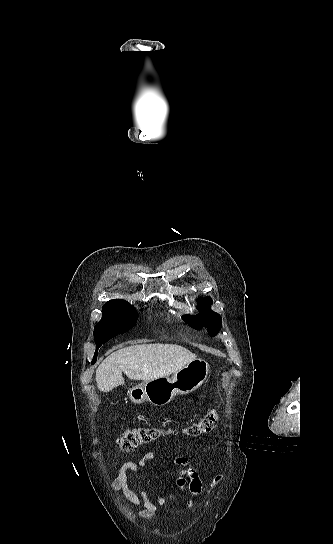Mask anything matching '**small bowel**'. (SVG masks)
<instances>
[{"mask_svg":"<svg viewBox=\"0 0 333 544\" xmlns=\"http://www.w3.org/2000/svg\"><path fill=\"white\" fill-rule=\"evenodd\" d=\"M155 455L152 452L145 453L138 461H127L119 469L113 483L112 489L121 491L124 497L132 504L141 507L138 516L143 519H152L158 509V506L166 504V499L158 493H155L152 500L148 492L139 487L133 490L129 486V474L131 473L135 480H138L139 472L148 464L152 463ZM174 466L179 468L176 478V486L181 492L188 491L192 496H197L203 491L201 477L195 467L189 464L186 458L179 457L174 460ZM222 476L215 477L211 489L219 484ZM192 502H190V505Z\"/></svg>","mask_w":333,"mask_h":544,"instance_id":"1","label":"small bowel"}]
</instances>
